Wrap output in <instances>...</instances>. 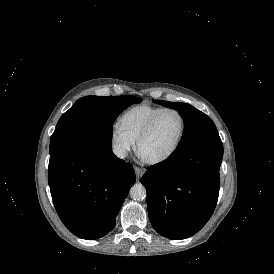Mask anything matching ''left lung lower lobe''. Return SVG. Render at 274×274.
I'll return each instance as SVG.
<instances>
[{
  "instance_id": "obj_1",
  "label": "left lung lower lobe",
  "mask_w": 274,
  "mask_h": 274,
  "mask_svg": "<svg viewBox=\"0 0 274 274\" xmlns=\"http://www.w3.org/2000/svg\"><path fill=\"white\" fill-rule=\"evenodd\" d=\"M222 157V142H209L147 168L141 183L150 222L159 234L185 239L207 223L218 200Z\"/></svg>"
}]
</instances>
